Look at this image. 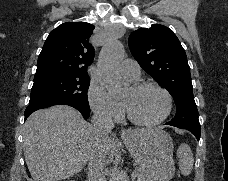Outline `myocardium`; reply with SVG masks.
Instances as JSON below:
<instances>
[{
	"label": "myocardium",
	"instance_id": "f54148a6",
	"mask_svg": "<svg viewBox=\"0 0 228 181\" xmlns=\"http://www.w3.org/2000/svg\"><path fill=\"white\" fill-rule=\"evenodd\" d=\"M130 87L133 90H140V89H143L146 87H151V88H154L157 91H159L164 98V107H163L162 112L160 113V115L158 117L151 119V120H142V119L137 118L131 112L128 105L125 104L127 116L133 123H135L137 125H141V126H155V125L161 123L169 115V112L171 110V103H172L171 97H170L169 93L163 87H161L159 84H157L155 82H151V81H133V80H131Z\"/></svg>",
	"mask_w": 228,
	"mask_h": 181
}]
</instances>
